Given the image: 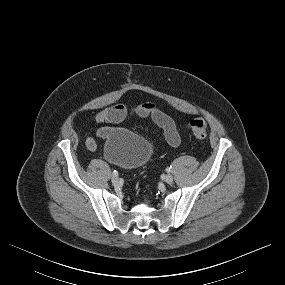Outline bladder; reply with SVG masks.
I'll return each instance as SVG.
<instances>
[{"label": "bladder", "mask_w": 285, "mask_h": 285, "mask_svg": "<svg viewBox=\"0 0 285 285\" xmlns=\"http://www.w3.org/2000/svg\"><path fill=\"white\" fill-rule=\"evenodd\" d=\"M153 146L146 138L123 128H109L105 133L106 159L126 169L143 166L152 156Z\"/></svg>", "instance_id": "31cf9c89"}]
</instances>
